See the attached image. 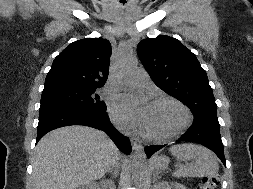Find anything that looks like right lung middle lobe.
<instances>
[{
	"instance_id": "dd1d6c3e",
	"label": "right lung middle lobe",
	"mask_w": 253,
	"mask_h": 189,
	"mask_svg": "<svg viewBox=\"0 0 253 189\" xmlns=\"http://www.w3.org/2000/svg\"><path fill=\"white\" fill-rule=\"evenodd\" d=\"M100 87L62 86L44 89L41 107L63 105L105 112L107 107L96 93Z\"/></svg>"
}]
</instances>
